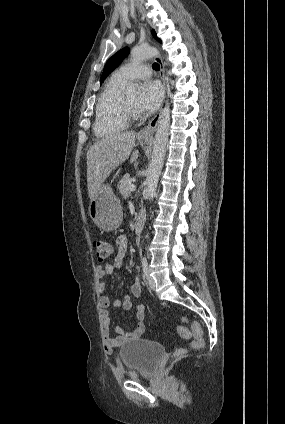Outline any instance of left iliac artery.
Returning a JSON list of instances; mask_svg holds the SVG:
<instances>
[{"instance_id": "44dca946", "label": "left iliac artery", "mask_w": 285, "mask_h": 424, "mask_svg": "<svg viewBox=\"0 0 285 424\" xmlns=\"http://www.w3.org/2000/svg\"><path fill=\"white\" fill-rule=\"evenodd\" d=\"M142 270H143L144 276H147L148 275V263H147V259H146L145 256L143 257V261H142Z\"/></svg>"}]
</instances>
